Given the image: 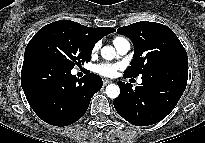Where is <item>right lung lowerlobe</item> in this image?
Returning a JSON list of instances; mask_svg holds the SVG:
<instances>
[{"mask_svg":"<svg viewBox=\"0 0 205 143\" xmlns=\"http://www.w3.org/2000/svg\"><path fill=\"white\" fill-rule=\"evenodd\" d=\"M71 68L43 54H24L21 86L34 112L46 123L68 126L87 111L102 79L87 74L76 79Z\"/></svg>","mask_w":205,"mask_h":143,"instance_id":"1","label":"right lung lower lobe"}]
</instances>
